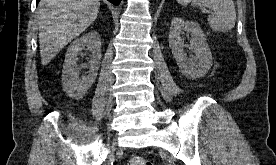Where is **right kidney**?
Masks as SVG:
<instances>
[{"label":"right kidney","mask_w":276,"mask_h":165,"mask_svg":"<svg viewBox=\"0 0 276 165\" xmlns=\"http://www.w3.org/2000/svg\"><path fill=\"white\" fill-rule=\"evenodd\" d=\"M85 49L91 52V59L88 64L79 66L77 56ZM100 60L101 38L96 31H91L72 42L65 55L62 70V86L70 97L80 99L85 95L95 82ZM83 67L89 68V72L80 78L79 72Z\"/></svg>","instance_id":"1"}]
</instances>
